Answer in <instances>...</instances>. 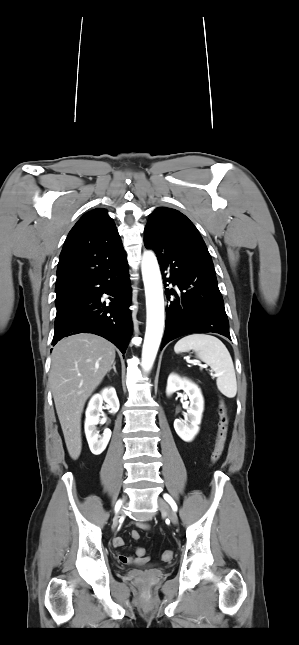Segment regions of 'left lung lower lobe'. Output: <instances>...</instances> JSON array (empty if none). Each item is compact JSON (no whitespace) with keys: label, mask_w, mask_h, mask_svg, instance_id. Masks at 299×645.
Listing matches in <instances>:
<instances>
[{"label":"left lung lower lobe","mask_w":299,"mask_h":645,"mask_svg":"<svg viewBox=\"0 0 299 645\" xmlns=\"http://www.w3.org/2000/svg\"><path fill=\"white\" fill-rule=\"evenodd\" d=\"M144 244L155 251L164 284L176 285L181 293L166 289V328L162 348L180 336L213 332L229 339V322L218 288L213 262L201 239L184 233L145 236ZM161 348V349H162Z\"/></svg>","instance_id":"1"}]
</instances>
